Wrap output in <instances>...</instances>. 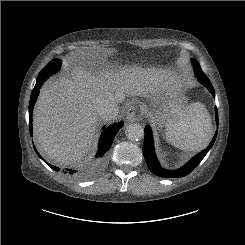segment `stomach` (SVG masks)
Returning <instances> with one entry per match:
<instances>
[{"label": "stomach", "mask_w": 245, "mask_h": 245, "mask_svg": "<svg viewBox=\"0 0 245 245\" xmlns=\"http://www.w3.org/2000/svg\"><path fill=\"white\" fill-rule=\"evenodd\" d=\"M151 118L159 125L177 120L187 110V98L180 89L169 88L154 95L150 100Z\"/></svg>", "instance_id": "stomach-1"}]
</instances>
